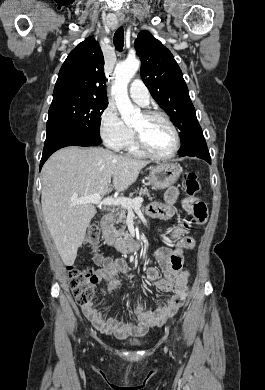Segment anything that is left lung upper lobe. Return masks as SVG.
<instances>
[{
	"label": "left lung upper lobe",
	"instance_id": "5c2ea615",
	"mask_svg": "<svg viewBox=\"0 0 265 390\" xmlns=\"http://www.w3.org/2000/svg\"><path fill=\"white\" fill-rule=\"evenodd\" d=\"M135 50L141 60L143 82L180 131L181 156L204 139L182 71L172 53L147 31L138 34Z\"/></svg>",
	"mask_w": 265,
	"mask_h": 390
}]
</instances>
